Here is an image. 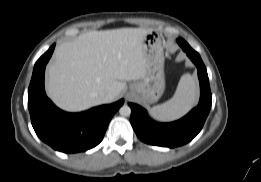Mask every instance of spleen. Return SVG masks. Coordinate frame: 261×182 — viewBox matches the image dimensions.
I'll return each instance as SVG.
<instances>
[{"label":"spleen","mask_w":261,"mask_h":182,"mask_svg":"<svg viewBox=\"0 0 261 182\" xmlns=\"http://www.w3.org/2000/svg\"><path fill=\"white\" fill-rule=\"evenodd\" d=\"M198 87L193 76L182 75L174 96L167 102L154 106L151 116L159 121H172L185 115L196 103Z\"/></svg>","instance_id":"1"}]
</instances>
